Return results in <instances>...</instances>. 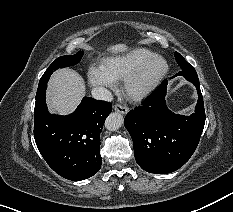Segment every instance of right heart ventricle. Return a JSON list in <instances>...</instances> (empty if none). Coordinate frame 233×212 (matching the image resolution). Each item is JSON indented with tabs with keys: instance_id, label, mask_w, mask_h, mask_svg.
<instances>
[{
	"instance_id": "obj_1",
	"label": "right heart ventricle",
	"mask_w": 233,
	"mask_h": 212,
	"mask_svg": "<svg viewBox=\"0 0 233 212\" xmlns=\"http://www.w3.org/2000/svg\"><path fill=\"white\" fill-rule=\"evenodd\" d=\"M154 55L153 51L138 47L124 54L104 59L102 67L115 81L121 80Z\"/></svg>"
}]
</instances>
